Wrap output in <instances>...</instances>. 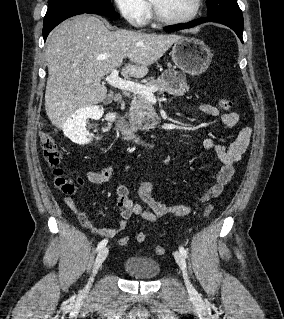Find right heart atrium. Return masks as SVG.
<instances>
[{
	"label": "right heart atrium",
	"instance_id": "right-heart-atrium-1",
	"mask_svg": "<svg viewBox=\"0 0 284 319\" xmlns=\"http://www.w3.org/2000/svg\"><path fill=\"white\" fill-rule=\"evenodd\" d=\"M120 15L132 26L143 25L149 14L146 0H113Z\"/></svg>",
	"mask_w": 284,
	"mask_h": 319
}]
</instances>
